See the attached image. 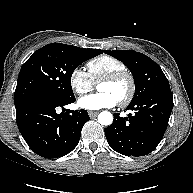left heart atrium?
Here are the masks:
<instances>
[{
  "label": "left heart atrium",
  "mask_w": 193,
  "mask_h": 193,
  "mask_svg": "<svg viewBox=\"0 0 193 193\" xmlns=\"http://www.w3.org/2000/svg\"><path fill=\"white\" fill-rule=\"evenodd\" d=\"M118 101L107 92H98L83 96L78 99L77 105L85 110L97 111L103 108H113Z\"/></svg>",
  "instance_id": "1"
}]
</instances>
